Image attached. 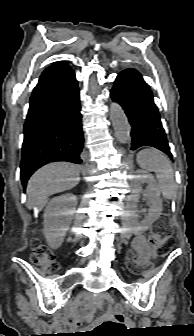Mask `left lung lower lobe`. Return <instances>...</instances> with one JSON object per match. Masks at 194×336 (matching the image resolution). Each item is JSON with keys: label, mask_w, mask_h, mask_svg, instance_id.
Returning <instances> with one entry per match:
<instances>
[{"label": "left lung lower lobe", "mask_w": 194, "mask_h": 336, "mask_svg": "<svg viewBox=\"0 0 194 336\" xmlns=\"http://www.w3.org/2000/svg\"><path fill=\"white\" fill-rule=\"evenodd\" d=\"M110 95L120 104L131 124V149L151 146L172 159L153 94L141 74L134 69L122 71L117 76Z\"/></svg>", "instance_id": "0a47b994"}]
</instances>
